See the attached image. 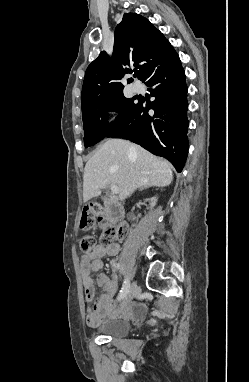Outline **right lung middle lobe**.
Returning a JSON list of instances; mask_svg holds the SVG:
<instances>
[{
	"label": "right lung middle lobe",
	"mask_w": 249,
	"mask_h": 382,
	"mask_svg": "<svg viewBox=\"0 0 249 382\" xmlns=\"http://www.w3.org/2000/svg\"><path fill=\"white\" fill-rule=\"evenodd\" d=\"M139 99L137 97L128 99L121 94L109 99L95 100L82 108L85 147L95 145L127 123L136 111ZM109 110L117 111L120 115L118 122L112 123L115 129L108 128L105 112Z\"/></svg>",
	"instance_id": "right-lung-middle-lobe-1"
}]
</instances>
